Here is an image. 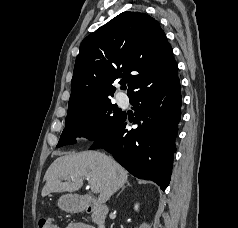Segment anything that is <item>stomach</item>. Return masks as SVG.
I'll return each mask as SVG.
<instances>
[{"instance_id": "obj_1", "label": "stomach", "mask_w": 238, "mask_h": 228, "mask_svg": "<svg viewBox=\"0 0 238 228\" xmlns=\"http://www.w3.org/2000/svg\"><path fill=\"white\" fill-rule=\"evenodd\" d=\"M58 206L68 212L80 211L83 208L79 198L72 194H66L59 198Z\"/></svg>"}]
</instances>
